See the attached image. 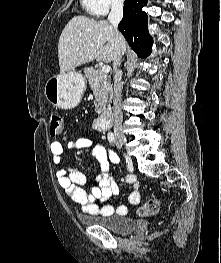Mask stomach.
<instances>
[{"label": "stomach", "instance_id": "obj_1", "mask_svg": "<svg viewBox=\"0 0 221 263\" xmlns=\"http://www.w3.org/2000/svg\"><path fill=\"white\" fill-rule=\"evenodd\" d=\"M85 84V78L80 72L61 73L48 79L45 96L55 107L70 110L80 103Z\"/></svg>", "mask_w": 221, "mask_h": 263}]
</instances>
